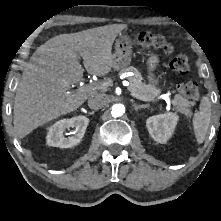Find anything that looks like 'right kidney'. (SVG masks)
I'll list each match as a JSON object with an SVG mask.
<instances>
[{
    "mask_svg": "<svg viewBox=\"0 0 221 221\" xmlns=\"http://www.w3.org/2000/svg\"><path fill=\"white\" fill-rule=\"evenodd\" d=\"M89 119L86 116H76L70 119H62L53 124L47 134V144L53 147L70 148L77 145L86 131ZM75 128L73 135L65 137V130Z\"/></svg>",
    "mask_w": 221,
    "mask_h": 221,
    "instance_id": "1",
    "label": "right kidney"
}]
</instances>
